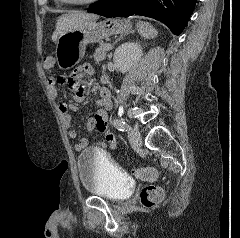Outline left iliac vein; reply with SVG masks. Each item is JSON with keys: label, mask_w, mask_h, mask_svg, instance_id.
Returning a JSON list of instances; mask_svg holds the SVG:
<instances>
[{"label": "left iliac vein", "mask_w": 240, "mask_h": 238, "mask_svg": "<svg viewBox=\"0 0 240 238\" xmlns=\"http://www.w3.org/2000/svg\"><path fill=\"white\" fill-rule=\"evenodd\" d=\"M128 139L133 147H140L142 145V138L137 128H132L128 131Z\"/></svg>", "instance_id": "1"}]
</instances>
